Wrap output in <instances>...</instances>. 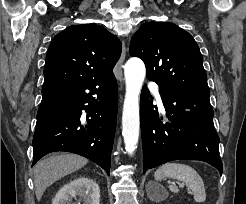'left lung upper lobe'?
<instances>
[{
  "instance_id": "left-lung-upper-lobe-1",
  "label": "left lung upper lobe",
  "mask_w": 246,
  "mask_h": 204,
  "mask_svg": "<svg viewBox=\"0 0 246 204\" xmlns=\"http://www.w3.org/2000/svg\"><path fill=\"white\" fill-rule=\"evenodd\" d=\"M130 54L144 61L147 78L158 85L209 90L197 43L173 23L142 24L131 39Z\"/></svg>"
}]
</instances>
